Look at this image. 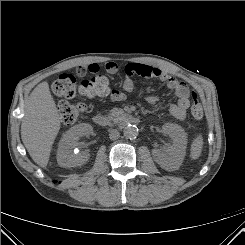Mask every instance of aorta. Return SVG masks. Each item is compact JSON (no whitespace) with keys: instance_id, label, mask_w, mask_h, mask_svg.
Segmentation results:
<instances>
[{"instance_id":"762f6f07","label":"aorta","mask_w":245,"mask_h":245,"mask_svg":"<svg viewBox=\"0 0 245 245\" xmlns=\"http://www.w3.org/2000/svg\"><path fill=\"white\" fill-rule=\"evenodd\" d=\"M124 137L134 139L138 136V128L135 125L128 124L123 129Z\"/></svg>"}]
</instances>
